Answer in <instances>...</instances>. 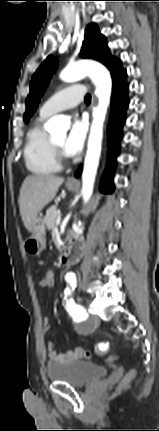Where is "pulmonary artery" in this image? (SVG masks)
<instances>
[{"label": "pulmonary artery", "mask_w": 159, "mask_h": 431, "mask_svg": "<svg viewBox=\"0 0 159 431\" xmlns=\"http://www.w3.org/2000/svg\"><path fill=\"white\" fill-rule=\"evenodd\" d=\"M86 87L82 84L67 86L50 98H48L40 108V114L51 116L60 111L77 106L85 97Z\"/></svg>", "instance_id": "e3ab8cb5"}]
</instances>
